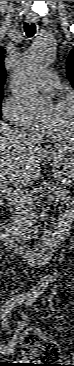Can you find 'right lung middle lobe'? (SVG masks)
Masks as SVG:
<instances>
[{
  "label": "right lung middle lobe",
  "instance_id": "right-lung-middle-lobe-1",
  "mask_svg": "<svg viewBox=\"0 0 74 366\" xmlns=\"http://www.w3.org/2000/svg\"><path fill=\"white\" fill-rule=\"evenodd\" d=\"M3 98V91L0 92V102L2 101Z\"/></svg>",
  "mask_w": 74,
  "mask_h": 366
}]
</instances>
